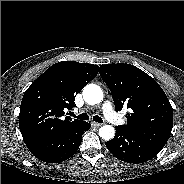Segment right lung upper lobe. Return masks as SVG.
<instances>
[{
	"label": "right lung upper lobe",
	"instance_id": "right-lung-upper-lobe-1",
	"mask_svg": "<svg viewBox=\"0 0 184 184\" xmlns=\"http://www.w3.org/2000/svg\"><path fill=\"white\" fill-rule=\"evenodd\" d=\"M99 66L62 61L49 67L25 91L19 128L25 144L66 132L84 121L65 117L75 95L98 74Z\"/></svg>",
	"mask_w": 184,
	"mask_h": 184
}]
</instances>
